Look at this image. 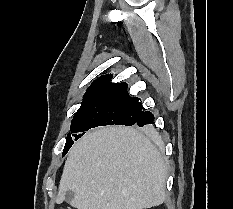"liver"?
Wrapping results in <instances>:
<instances>
[{"label": "liver", "mask_w": 233, "mask_h": 209, "mask_svg": "<svg viewBox=\"0 0 233 209\" xmlns=\"http://www.w3.org/2000/svg\"><path fill=\"white\" fill-rule=\"evenodd\" d=\"M166 179L164 160L149 138L132 127L107 126L85 134L69 151L56 203L71 190L76 209H149L165 201Z\"/></svg>", "instance_id": "1"}]
</instances>
